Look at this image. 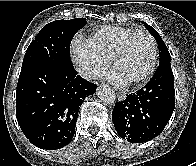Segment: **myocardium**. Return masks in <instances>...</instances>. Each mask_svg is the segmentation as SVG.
<instances>
[{
	"label": "myocardium",
	"instance_id": "obj_1",
	"mask_svg": "<svg viewBox=\"0 0 196 166\" xmlns=\"http://www.w3.org/2000/svg\"><path fill=\"white\" fill-rule=\"evenodd\" d=\"M137 33H142L149 38V40L151 42V46H152V61H151L149 68L140 77L127 83L129 85H138V84L146 82L153 75V73L156 70L157 64H158L159 54H158V46H157L155 38L146 29L137 28V29H134L133 31H131L123 39L122 43L120 44L118 50L116 51V53L114 54V56L111 60L112 61V68L114 69L116 64L118 63V61L124 56V54L127 51L128 44H129L131 38Z\"/></svg>",
	"mask_w": 196,
	"mask_h": 166
}]
</instances>
